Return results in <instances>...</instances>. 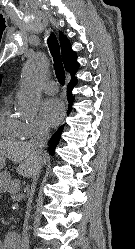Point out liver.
Listing matches in <instances>:
<instances>
[{"instance_id":"obj_1","label":"liver","mask_w":135,"mask_h":249,"mask_svg":"<svg viewBox=\"0 0 135 249\" xmlns=\"http://www.w3.org/2000/svg\"><path fill=\"white\" fill-rule=\"evenodd\" d=\"M48 155L35 154L30 143L0 141V157L19 163L17 172L27 178L33 177L35 170L42 167Z\"/></svg>"}]
</instances>
